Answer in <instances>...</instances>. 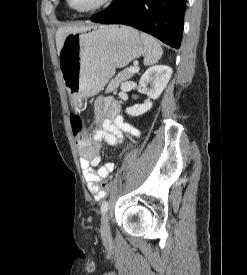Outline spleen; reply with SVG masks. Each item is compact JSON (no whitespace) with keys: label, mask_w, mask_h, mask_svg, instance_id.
<instances>
[{"label":"spleen","mask_w":247,"mask_h":275,"mask_svg":"<svg viewBox=\"0 0 247 275\" xmlns=\"http://www.w3.org/2000/svg\"><path fill=\"white\" fill-rule=\"evenodd\" d=\"M141 40L144 46V65L150 66L157 63L163 55V49L152 36L141 33Z\"/></svg>","instance_id":"obj_1"}]
</instances>
